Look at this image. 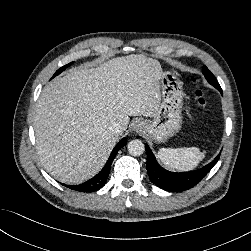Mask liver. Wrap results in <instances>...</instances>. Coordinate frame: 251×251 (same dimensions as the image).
<instances>
[{
	"label": "liver",
	"mask_w": 251,
	"mask_h": 251,
	"mask_svg": "<svg viewBox=\"0 0 251 251\" xmlns=\"http://www.w3.org/2000/svg\"><path fill=\"white\" fill-rule=\"evenodd\" d=\"M158 60L140 54L117 57L96 68H73L47 85L37 102V152L55 179L79 184L95 176L117 142L113 123L153 117L161 104Z\"/></svg>",
	"instance_id": "6515ba94"
}]
</instances>
